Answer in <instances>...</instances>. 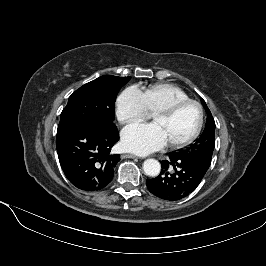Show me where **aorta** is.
I'll return each mask as SVG.
<instances>
[{
  "mask_svg": "<svg viewBox=\"0 0 266 266\" xmlns=\"http://www.w3.org/2000/svg\"><path fill=\"white\" fill-rule=\"evenodd\" d=\"M143 170L146 175L156 177L161 171V165L155 159H147L143 163Z\"/></svg>",
  "mask_w": 266,
  "mask_h": 266,
  "instance_id": "obj_1",
  "label": "aorta"
}]
</instances>
